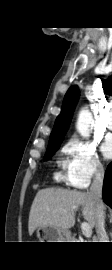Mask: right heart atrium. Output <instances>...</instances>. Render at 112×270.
<instances>
[{"label":"right heart atrium","instance_id":"1","mask_svg":"<svg viewBox=\"0 0 112 270\" xmlns=\"http://www.w3.org/2000/svg\"><path fill=\"white\" fill-rule=\"evenodd\" d=\"M62 152L64 179L71 187L84 189L91 180L104 175L105 169L94 144L71 138L64 144Z\"/></svg>","mask_w":112,"mask_h":270}]
</instances>
